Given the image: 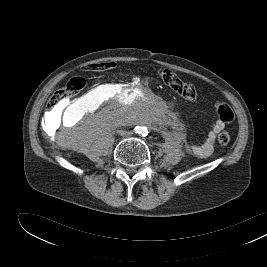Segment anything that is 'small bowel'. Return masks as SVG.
<instances>
[{
	"label": "small bowel",
	"instance_id": "1",
	"mask_svg": "<svg viewBox=\"0 0 267 267\" xmlns=\"http://www.w3.org/2000/svg\"><path fill=\"white\" fill-rule=\"evenodd\" d=\"M91 67L92 65L89 68L91 69ZM74 108L75 107L72 106L65 107L63 105H60L57 108H55L51 113L55 118H62L68 111L73 112ZM224 127H225V122H223L220 119L215 120L210 127V130L207 134L205 141L200 145H195V146L186 145L187 150L191 151L198 157L205 158L210 156L213 152V145L215 142L216 135Z\"/></svg>",
	"mask_w": 267,
	"mask_h": 267
}]
</instances>
